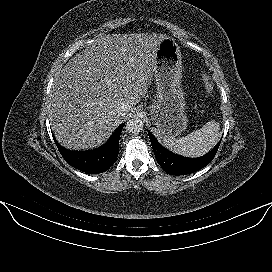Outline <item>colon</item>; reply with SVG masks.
Returning <instances> with one entry per match:
<instances>
[{
  "instance_id": "obj_1",
  "label": "colon",
  "mask_w": 272,
  "mask_h": 272,
  "mask_svg": "<svg viewBox=\"0 0 272 272\" xmlns=\"http://www.w3.org/2000/svg\"><path fill=\"white\" fill-rule=\"evenodd\" d=\"M204 90L206 95H211L214 90L213 83L209 77L204 78Z\"/></svg>"
}]
</instances>
